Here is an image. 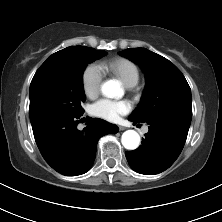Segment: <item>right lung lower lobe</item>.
Returning <instances> with one entry per match:
<instances>
[{
    "label": "right lung lower lobe",
    "mask_w": 222,
    "mask_h": 222,
    "mask_svg": "<svg viewBox=\"0 0 222 222\" xmlns=\"http://www.w3.org/2000/svg\"><path fill=\"white\" fill-rule=\"evenodd\" d=\"M81 115L53 114L32 123L37 146L46 162L66 176L86 173L96 156L99 138L118 132L116 125L88 118L86 128L78 130Z\"/></svg>",
    "instance_id": "1"
}]
</instances>
